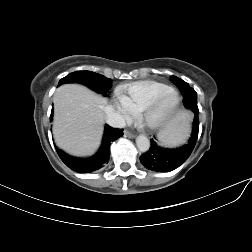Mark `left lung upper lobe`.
Wrapping results in <instances>:
<instances>
[{"label": "left lung upper lobe", "instance_id": "obj_1", "mask_svg": "<svg viewBox=\"0 0 252 252\" xmlns=\"http://www.w3.org/2000/svg\"><path fill=\"white\" fill-rule=\"evenodd\" d=\"M172 80H173V82H174L176 85H178V84H185V83H186L185 81H183V80H181L180 78L175 77V76H172Z\"/></svg>", "mask_w": 252, "mask_h": 252}]
</instances>
